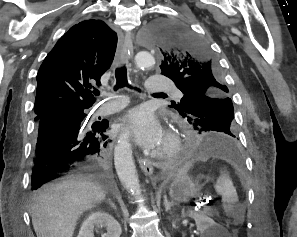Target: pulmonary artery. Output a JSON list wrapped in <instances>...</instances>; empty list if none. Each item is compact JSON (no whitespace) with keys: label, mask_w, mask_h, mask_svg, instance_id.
I'll use <instances>...</instances> for the list:
<instances>
[{"label":"pulmonary artery","mask_w":297,"mask_h":237,"mask_svg":"<svg viewBox=\"0 0 297 237\" xmlns=\"http://www.w3.org/2000/svg\"><path fill=\"white\" fill-rule=\"evenodd\" d=\"M171 88L172 84L169 81L165 80L162 76L150 77L145 85V89L148 92H159L163 90H169ZM127 105L128 100L117 98L97 106L95 112L98 115H107L117 112Z\"/></svg>","instance_id":"obj_1"}]
</instances>
